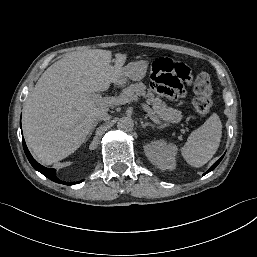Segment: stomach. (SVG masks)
Wrapping results in <instances>:
<instances>
[{
  "label": "stomach",
  "instance_id": "1",
  "mask_svg": "<svg viewBox=\"0 0 257 257\" xmlns=\"http://www.w3.org/2000/svg\"><path fill=\"white\" fill-rule=\"evenodd\" d=\"M148 68L147 61H137L131 62L122 69L121 78L119 80V84L124 83L127 79H131L133 81H139L143 79L146 75Z\"/></svg>",
  "mask_w": 257,
  "mask_h": 257
}]
</instances>
